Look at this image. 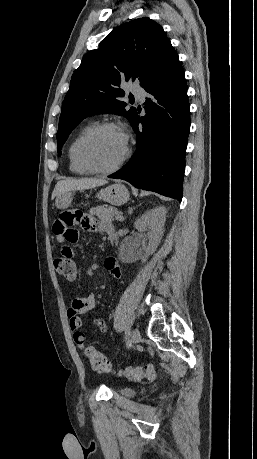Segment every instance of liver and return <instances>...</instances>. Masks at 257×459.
I'll return each mask as SVG.
<instances>
[{"mask_svg":"<svg viewBox=\"0 0 257 459\" xmlns=\"http://www.w3.org/2000/svg\"><path fill=\"white\" fill-rule=\"evenodd\" d=\"M105 184H107V180L96 178L61 180L55 185L52 193V199L66 192L91 189Z\"/></svg>","mask_w":257,"mask_h":459,"instance_id":"liver-1","label":"liver"}]
</instances>
